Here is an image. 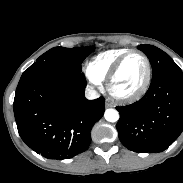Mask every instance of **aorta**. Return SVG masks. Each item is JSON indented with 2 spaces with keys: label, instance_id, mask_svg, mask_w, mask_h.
Instances as JSON below:
<instances>
[{
  "label": "aorta",
  "instance_id": "762f6f07",
  "mask_svg": "<svg viewBox=\"0 0 183 183\" xmlns=\"http://www.w3.org/2000/svg\"><path fill=\"white\" fill-rule=\"evenodd\" d=\"M104 117L108 122H117L119 120V113L115 109H107L104 113Z\"/></svg>",
  "mask_w": 183,
  "mask_h": 183
}]
</instances>
